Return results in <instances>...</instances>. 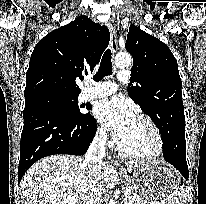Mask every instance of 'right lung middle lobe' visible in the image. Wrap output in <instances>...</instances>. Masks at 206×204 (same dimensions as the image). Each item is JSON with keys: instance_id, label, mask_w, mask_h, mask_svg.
<instances>
[{"instance_id": "1", "label": "right lung middle lobe", "mask_w": 206, "mask_h": 204, "mask_svg": "<svg viewBox=\"0 0 206 204\" xmlns=\"http://www.w3.org/2000/svg\"><path fill=\"white\" fill-rule=\"evenodd\" d=\"M78 95H61L56 93H42L25 98V108L35 106L52 107L72 118L84 117L77 103ZM91 109V108H87Z\"/></svg>"}]
</instances>
